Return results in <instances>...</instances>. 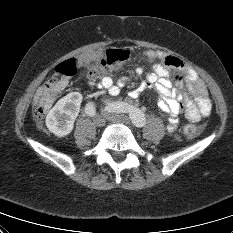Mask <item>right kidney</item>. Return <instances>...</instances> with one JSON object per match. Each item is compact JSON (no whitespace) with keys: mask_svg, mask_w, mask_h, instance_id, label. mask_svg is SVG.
I'll return each mask as SVG.
<instances>
[{"mask_svg":"<svg viewBox=\"0 0 233 233\" xmlns=\"http://www.w3.org/2000/svg\"><path fill=\"white\" fill-rule=\"evenodd\" d=\"M82 99L79 92H71L58 100L46 117L48 130L59 138L70 134L79 114Z\"/></svg>","mask_w":233,"mask_h":233,"instance_id":"obj_1","label":"right kidney"}]
</instances>
